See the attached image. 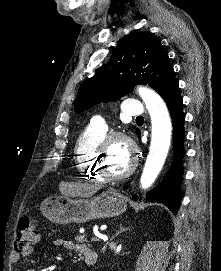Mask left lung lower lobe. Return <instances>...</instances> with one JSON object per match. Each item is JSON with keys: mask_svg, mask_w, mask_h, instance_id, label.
<instances>
[{"mask_svg": "<svg viewBox=\"0 0 221 271\" xmlns=\"http://www.w3.org/2000/svg\"><path fill=\"white\" fill-rule=\"evenodd\" d=\"M161 96L168 106L173 122L174 159L161 183L147 193L146 199L147 201H157L165 204L176 215L181 202L180 185L184 173L182 159L185 155L183 147L185 115L182 109L183 99L179 93L178 81L173 82ZM137 134L140 135V131ZM133 198L138 199L137 196Z\"/></svg>", "mask_w": 221, "mask_h": 271, "instance_id": "obj_1", "label": "left lung lower lobe"}]
</instances>
